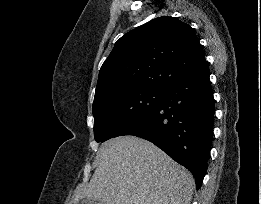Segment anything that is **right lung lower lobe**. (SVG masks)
Instances as JSON below:
<instances>
[{
  "instance_id": "98d812e1",
  "label": "right lung lower lobe",
  "mask_w": 261,
  "mask_h": 204,
  "mask_svg": "<svg viewBox=\"0 0 261 204\" xmlns=\"http://www.w3.org/2000/svg\"><path fill=\"white\" fill-rule=\"evenodd\" d=\"M207 61L164 90L158 104L120 136L146 139L190 170L199 189L207 171L215 102Z\"/></svg>"
}]
</instances>
